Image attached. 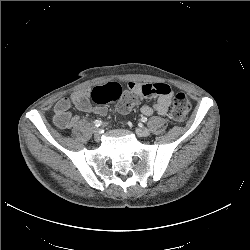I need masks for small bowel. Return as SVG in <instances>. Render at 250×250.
I'll return each instance as SVG.
<instances>
[{"mask_svg": "<svg viewBox=\"0 0 250 250\" xmlns=\"http://www.w3.org/2000/svg\"><path fill=\"white\" fill-rule=\"evenodd\" d=\"M129 89L138 92L144 98H153L156 102L153 105L145 104L141 107L142 114L151 116L154 113L166 115L168 113L173 91L168 84H141L130 82ZM90 90H82L70 97H63L54 106V124L60 129H70L78 121V116L70 112L71 106H75L83 112H91L100 116L107 113V108L101 105H92L90 102Z\"/></svg>", "mask_w": 250, "mask_h": 250, "instance_id": "small-bowel-1", "label": "small bowel"}]
</instances>
